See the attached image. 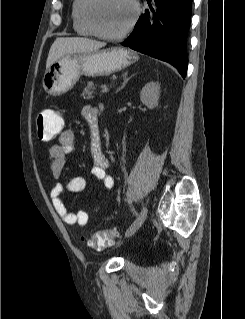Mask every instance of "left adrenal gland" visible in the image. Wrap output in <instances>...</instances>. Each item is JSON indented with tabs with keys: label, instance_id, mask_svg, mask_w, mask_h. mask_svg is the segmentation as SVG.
I'll use <instances>...</instances> for the list:
<instances>
[{
	"label": "left adrenal gland",
	"instance_id": "left-adrenal-gland-1",
	"mask_svg": "<svg viewBox=\"0 0 245 319\" xmlns=\"http://www.w3.org/2000/svg\"><path fill=\"white\" fill-rule=\"evenodd\" d=\"M135 74L131 75L130 77H128V72H125L122 77H123V83L121 84V86L117 89L116 92L120 91L125 85L126 83L129 81V79L131 77H133Z\"/></svg>",
	"mask_w": 245,
	"mask_h": 319
}]
</instances>
